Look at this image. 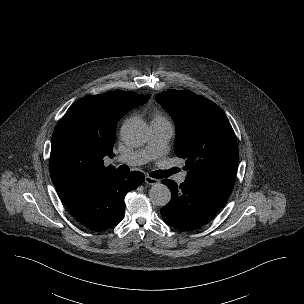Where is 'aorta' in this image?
I'll list each match as a JSON object with an SVG mask.
<instances>
[{
  "mask_svg": "<svg viewBox=\"0 0 304 304\" xmlns=\"http://www.w3.org/2000/svg\"><path fill=\"white\" fill-rule=\"evenodd\" d=\"M121 137L128 146L138 147L146 142L148 127L139 119L129 120L121 128ZM149 199L154 205L163 207L171 200L170 189L162 183H155L149 190Z\"/></svg>",
  "mask_w": 304,
  "mask_h": 304,
  "instance_id": "aorta-1",
  "label": "aorta"
}]
</instances>
